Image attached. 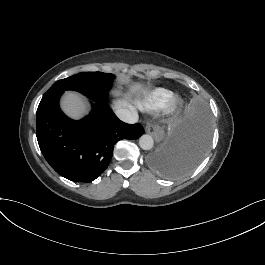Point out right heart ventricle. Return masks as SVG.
Listing matches in <instances>:
<instances>
[{
	"label": "right heart ventricle",
	"instance_id": "right-heart-ventricle-1",
	"mask_svg": "<svg viewBox=\"0 0 265 265\" xmlns=\"http://www.w3.org/2000/svg\"><path fill=\"white\" fill-rule=\"evenodd\" d=\"M171 94L165 90H158L149 99L147 108L160 109L165 107L170 101Z\"/></svg>",
	"mask_w": 265,
	"mask_h": 265
}]
</instances>
